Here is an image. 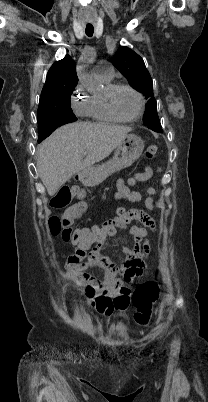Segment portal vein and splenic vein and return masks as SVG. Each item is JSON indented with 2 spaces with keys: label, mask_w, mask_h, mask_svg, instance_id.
I'll use <instances>...</instances> for the list:
<instances>
[{
  "label": "portal vein and splenic vein",
  "mask_w": 208,
  "mask_h": 402,
  "mask_svg": "<svg viewBox=\"0 0 208 402\" xmlns=\"http://www.w3.org/2000/svg\"><path fill=\"white\" fill-rule=\"evenodd\" d=\"M83 156L85 157V160H88V157H89L88 153L83 154Z\"/></svg>",
  "instance_id": "portal-vein-and-splenic-vein-1"
}]
</instances>
